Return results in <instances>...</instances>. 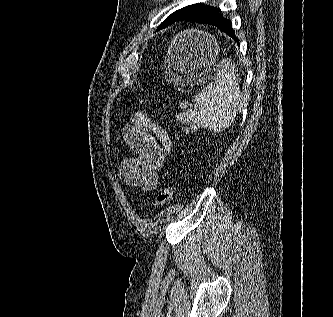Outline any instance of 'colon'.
<instances>
[{"instance_id":"1","label":"colon","mask_w":333,"mask_h":317,"mask_svg":"<svg viewBox=\"0 0 333 317\" xmlns=\"http://www.w3.org/2000/svg\"><path fill=\"white\" fill-rule=\"evenodd\" d=\"M194 132V126L193 125H187L185 127V133L187 135H190ZM173 196V188L170 185H165L161 191L158 193L154 206L159 207L167 203L168 201L171 200Z\"/></svg>"}]
</instances>
